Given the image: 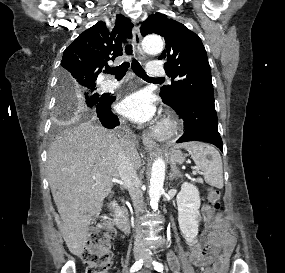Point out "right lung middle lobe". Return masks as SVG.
<instances>
[{
	"mask_svg": "<svg viewBox=\"0 0 285 273\" xmlns=\"http://www.w3.org/2000/svg\"><path fill=\"white\" fill-rule=\"evenodd\" d=\"M96 85H78L61 75L57 92L58 121H75L97 116V106L104 98L95 93Z\"/></svg>",
	"mask_w": 285,
	"mask_h": 273,
	"instance_id": "1",
	"label": "right lung middle lobe"
}]
</instances>
